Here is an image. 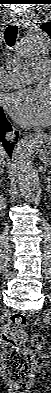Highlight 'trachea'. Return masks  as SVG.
Segmentation results:
<instances>
[{"label": "trachea", "mask_w": 51, "mask_h": 393, "mask_svg": "<svg viewBox=\"0 0 51 393\" xmlns=\"http://www.w3.org/2000/svg\"><path fill=\"white\" fill-rule=\"evenodd\" d=\"M4 38L6 44L10 47L14 46L16 38H17V26L16 25H8L4 32Z\"/></svg>", "instance_id": "obj_1"}]
</instances>
